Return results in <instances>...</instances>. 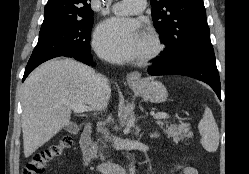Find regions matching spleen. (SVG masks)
<instances>
[{
	"mask_svg": "<svg viewBox=\"0 0 249 174\" xmlns=\"http://www.w3.org/2000/svg\"><path fill=\"white\" fill-rule=\"evenodd\" d=\"M198 129L203 148L208 152H215L219 146V129L212 111L208 107L205 108L203 118L198 124Z\"/></svg>",
	"mask_w": 249,
	"mask_h": 174,
	"instance_id": "3e777b00",
	"label": "spleen"
}]
</instances>
